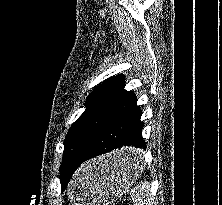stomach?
<instances>
[{"mask_svg": "<svg viewBox=\"0 0 222 205\" xmlns=\"http://www.w3.org/2000/svg\"><path fill=\"white\" fill-rule=\"evenodd\" d=\"M124 150L99 157L80 168L68 190L71 205H108L130 188L145 165L142 158L134 164H117L115 159Z\"/></svg>", "mask_w": 222, "mask_h": 205, "instance_id": "0dacf381", "label": "stomach"}]
</instances>
